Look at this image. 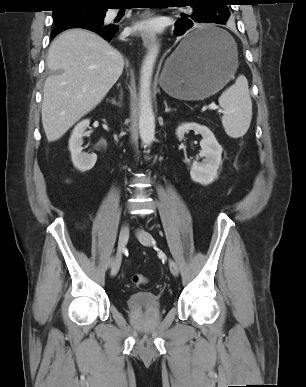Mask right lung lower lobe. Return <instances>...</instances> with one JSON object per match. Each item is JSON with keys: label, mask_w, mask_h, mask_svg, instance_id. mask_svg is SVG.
<instances>
[{"label": "right lung lower lobe", "mask_w": 306, "mask_h": 387, "mask_svg": "<svg viewBox=\"0 0 306 387\" xmlns=\"http://www.w3.org/2000/svg\"><path fill=\"white\" fill-rule=\"evenodd\" d=\"M72 28H85V29L94 31V32L98 33L99 35H101L107 41H110L112 39L113 35L118 30V26H116V25L105 26V25H100V24L95 25V26H75ZM56 35L57 34H54L52 36L55 37Z\"/></svg>", "instance_id": "right-lung-lower-lobe-1"}]
</instances>
